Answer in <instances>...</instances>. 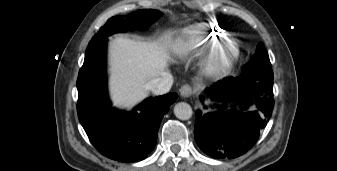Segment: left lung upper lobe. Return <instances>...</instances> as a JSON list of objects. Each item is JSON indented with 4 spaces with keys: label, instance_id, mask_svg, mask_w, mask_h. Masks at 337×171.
Masks as SVG:
<instances>
[{
    "label": "left lung upper lobe",
    "instance_id": "5c2ea615",
    "mask_svg": "<svg viewBox=\"0 0 337 171\" xmlns=\"http://www.w3.org/2000/svg\"><path fill=\"white\" fill-rule=\"evenodd\" d=\"M241 73L273 76L269 56L263 43L258 44L257 50L253 55L251 61L243 66Z\"/></svg>",
    "mask_w": 337,
    "mask_h": 171
}]
</instances>
